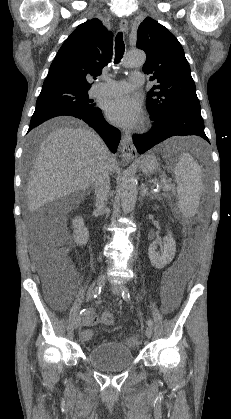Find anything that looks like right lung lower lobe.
Returning a JSON list of instances; mask_svg holds the SVG:
<instances>
[{"label": "right lung lower lobe", "mask_w": 231, "mask_h": 419, "mask_svg": "<svg viewBox=\"0 0 231 419\" xmlns=\"http://www.w3.org/2000/svg\"><path fill=\"white\" fill-rule=\"evenodd\" d=\"M57 116H73L85 121L102 137L113 153L117 151L121 137L120 131L105 121L99 108L90 112H82L65 108L37 107L31 118L28 132L42 122Z\"/></svg>", "instance_id": "right-lung-lower-lobe-1"}]
</instances>
